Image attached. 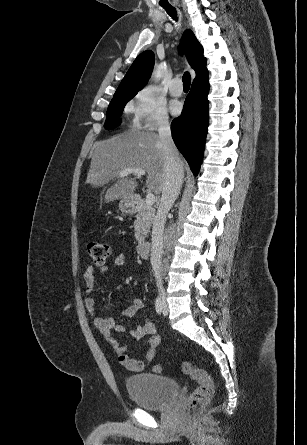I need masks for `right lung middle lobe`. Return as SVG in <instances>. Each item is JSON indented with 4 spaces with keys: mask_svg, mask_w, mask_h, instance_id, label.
<instances>
[{
    "mask_svg": "<svg viewBox=\"0 0 307 445\" xmlns=\"http://www.w3.org/2000/svg\"><path fill=\"white\" fill-rule=\"evenodd\" d=\"M132 97L116 100L110 103L107 113H106V122H105V128L112 129L116 128L121 123V113L124 109V106L126 103L131 99Z\"/></svg>",
    "mask_w": 307,
    "mask_h": 445,
    "instance_id": "right-lung-middle-lobe-1",
    "label": "right lung middle lobe"
}]
</instances>
